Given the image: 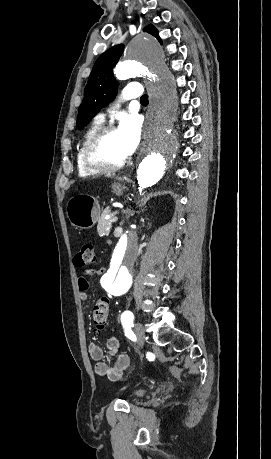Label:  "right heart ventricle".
I'll list each match as a JSON object with an SVG mask.
<instances>
[{
  "instance_id": "obj_1",
  "label": "right heart ventricle",
  "mask_w": 271,
  "mask_h": 459,
  "mask_svg": "<svg viewBox=\"0 0 271 459\" xmlns=\"http://www.w3.org/2000/svg\"><path fill=\"white\" fill-rule=\"evenodd\" d=\"M102 126V122L97 121L95 119L83 132L81 139L78 143L77 149H76V155H75V163H76V169L77 173L80 177L82 178H92L100 173H102V170H96L88 167L82 156V150L83 146L86 142V140L94 133L96 132L100 127Z\"/></svg>"
}]
</instances>
